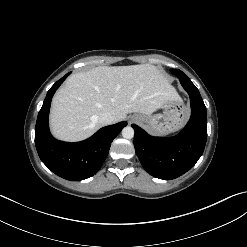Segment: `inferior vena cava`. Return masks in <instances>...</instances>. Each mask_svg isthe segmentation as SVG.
I'll list each match as a JSON object with an SVG mask.
<instances>
[{"label": "inferior vena cava", "mask_w": 247, "mask_h": 247, "mask_svg": "<svg viewBox=\"0 0 247 247\" xmlns=\"http://www.w3.org/2000/svg\"><path fill=\"white\" fill-rule=\"evenodd\" d=\"M114 119H115V117L112 113L104 112V113L100 114L98 120H99V123L104 126V125H109V124L114 123Z\"/></svg>", "instance_id": "602c4592"}]
</instances>
